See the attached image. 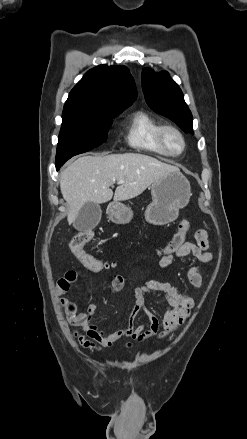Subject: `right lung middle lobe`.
Listing matches in <instances>:
<instances>
[{"instance_id":"obj_1","label":"right lung middle lobe","mask_w":247,"mask_h":439,"mask_svg":"<svg viewBox=\"0 0 247 439\" xmlns=\"http://www.w3.org/2000/svg\"><path fill=\"white\" fill-rule=\"evenodd\" d=\"M124 110L102 113L63 111L56 167H61L74 155L90 151L102 144L106 140L112 119Z\"/></svg>"}]
</instances>
